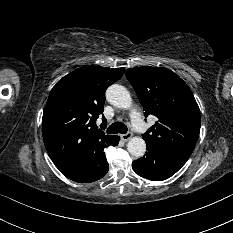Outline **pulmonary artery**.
Listing matches in <instances>:
<instances>
[{"label":"pulmonary artery","instance_id":"obj_1","mask_svg":"<svg viewBox=\"0 0 233 233\" xmlns=\"http://www.w3.org/2000/svg\"><path fill=\"white\" fill-rule=\"evenodd\" d=\"M130 119H131L132 126L135 130L139 132H143L146 130V125L141 117V114L136 108H133L130 111Z\"/></svg>","mask_w":233,"mask_h":233}]
</instances>
